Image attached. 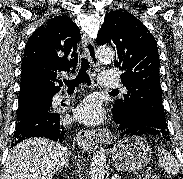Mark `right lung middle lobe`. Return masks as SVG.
Listing matches in <instances>:
<instances>
[{"label": "right lung middle lobe", "mask_w": 183, "mask_h": 179, "mask_svg": "<svg viewBox=\"0 0 183 179\" xmlns=\"http://www.w3.org/2000/svg\"><path fill=\"white\" fill-rule=\"evenodd\" d=\"M52 94H30L19 97V106L17 110V121L27 115V112L37 106L49 108V103L52 101Z\"/></svg>", "instance_id": "1"}]
</instances>
